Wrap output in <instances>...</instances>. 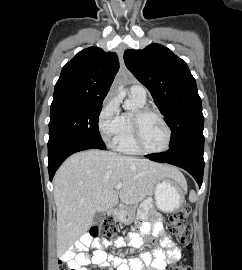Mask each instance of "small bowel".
<instances>
[{"instance_id":"1","label":"small bowel","mask_w":242,"mask_h":270,"mask_svg":"<svg viewBox=\"0 0 242 270\" xmlns=\"http://www.w3.org/2000/svg\"><path fill=\"white\" fill-rule=\"evenodd\" d=\"M147 215L145 211L139 214V220L142 223L139 233H130L126 240L117 239L115 246L124 248L128 245L141 248L147 238L159 237L152 252L144 251L139 257L129 259L119 258L108 255L104 251V248L110 245L109 241H100L84 235L73 249L62 255L60 263L67 270H90L88 268L90 264L108 270H110V264H113L117 270H143L144 266H148L149 270H165L167 265L180 260L181 250L165 235L163 218L157 216L152 220H147ZM88 247L94 248L92 256L86 253Z\"/></svg>"}]
</instances>
